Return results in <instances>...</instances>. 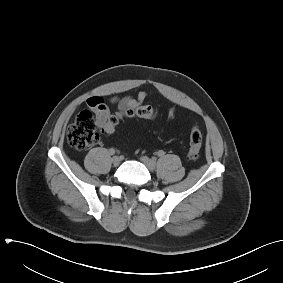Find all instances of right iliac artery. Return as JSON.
<instances>
[{
    "label": "right iliac artery",
    "instance_id": "82829eb1",
    "mask_svg": "<svg viewBox=\"0 0 283 283\" xmlns=\"http://www.w3.org/2000/svg\"><path fill=\"white\" fill-rule=\"evenodd\" d=\"M109 153L111 155H114L116 153V150L114 148L109 149Z\"/></svg>",
    "mask_w": 283,
    "mask_h": 283
}]
</instances>
